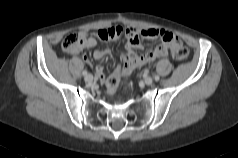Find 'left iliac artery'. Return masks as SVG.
<instances>
[{"label":"left iliac artery","mask_w":238,"mask_h":158,"mask_svg":"<svg viewBox=\"0 0 238 158\" xmlns=\"http://www.w3.org/2000/svg\"><path fill=\"white\" fill-rule=\"evenodd\" d=\"M154 79H155V81H158L160 78H159L158 75H155V76H154Z\"/></svg>","instance_id":"1"}]
</instances>
